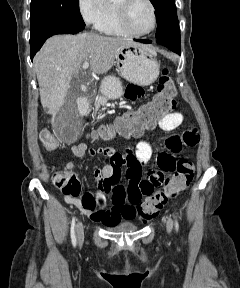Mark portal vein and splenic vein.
I'll list each match as a JSON object with an SVG mask.
<instances>
[{
	"label": "portal vein and splenic vein",
	"mask_w": 240,
	"mask_h": 288,
	"mask_svg": "<svg viewBox=\"0 0 240 288\" xmlns=\"http://www.w3.org/2000/svg\"><path fill=\"white\" fill-rule=\"evenodd\" d=\"M89 67V62H85L82 65V69H87Z\"/></svg>",
	"instance_id": "18ae733b"
}]
</instances>
